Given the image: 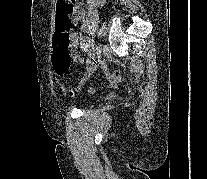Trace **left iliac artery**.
Returning <instances> with one entry per match:
<instances>
[{
	"instance_id": "44dca946",
	"label": "left iliac artery",
	"mask_w": 207,
	"mask_h": 179,
	"mask_svg": "<svg viewBox=\"0 0 207 179\" xmlns=\"http://www.w3.org/2000/svg\"><path fill=\"white\" fill-rule=\"evenodd\" d=\"M92 48L93 49H91L90 50V52H89V57H88V60H87V65L88 64H93L94 63V60H95V57H96V53H97V49H98V47H97V45L96 44H93L92 45Z\"/></svg>"
}]
</instances>
